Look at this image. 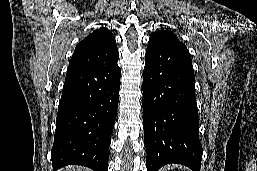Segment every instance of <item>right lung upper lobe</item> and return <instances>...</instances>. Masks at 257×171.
<instances>
[{"label":"right lung upper lobe","mask_w":257,"mask_h":171,"mask_svg":"<svg viewBox=\"0 0 257 171\" xmlns=\"http://www.w3.org/2000/svg\"><path fill=\"white\" fill-rule=\"evenodd\" d=\"M117 60L118 49L114 35L106 28H100L77 44L68 72L99 68Z\"/></svg>","instance_id":"cb5924a9"}]
</instances>
